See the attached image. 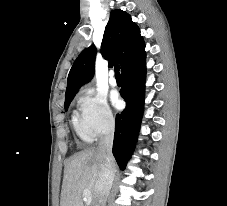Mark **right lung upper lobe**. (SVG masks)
I'll return each mask as SVG.
<instances>
[{
    "instance_id": "obj_1",
    "label": "right lung upper lobe",
    "mask_w": 227,
    "mask_h": 206,
    "mask_svg": "<svg viewBox=\"0 0 227 206\" xmlns=\"http://www.w3.org/2000/svg\"><path fill=\"white\" fill-rule=\"evenodd\" d=\"M96 52L92 45L78 56L68 75L65 98L75 96L79 88L91 80ZM100 52L109 60V67L120 64L122 73L145 58V44L140 29L125 11L113 10L110 13Z\"/></svg>"
}]
</instances>
